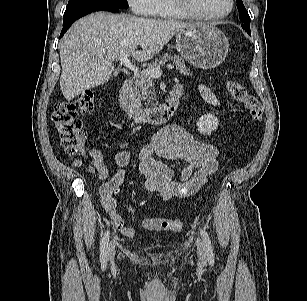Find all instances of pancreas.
<instances>
[{
  "mask_svg": "<svg viewBox=\"0 0 307 301\" xmlns=\"http://www.w3.org/2000/svg\"><path fill=\"white\" fill-rule=\"evenodd\" d=\"M167 61H172L175 64L176 70H178L180 74H191L190 69L185 66L182 58L176 55H171V53H166L163 56L156 58L149 64V68L158 67ZM133 84L134 97L138 101H145L146 106L155 105L156 96L152 77L138 74L134 77Z\"/></svg>",
  "mask_w": 307,
  "mask_h": 301,
  "instance_id": "obj_1",
  "label": "pancreas"
}]
</instances>
